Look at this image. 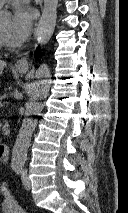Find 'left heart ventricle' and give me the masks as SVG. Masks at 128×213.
Segmentation results:
<instances>
[{
  "label": "left heart ventricle",
  "instance_id": "b2bd125f",
  "mask_svg": "<svg viewBox=\"0 0 128 213\" xmlns=\"http://www.w3.org/2000/svg\"><path fill=\"white\" fill-rule=\"evenodd\" d=\"M10 30H11V23L9 21L0 25V32H2L4 35H6L9 39H11Z\"/></svg>",
  "mask_w": 128,
  "mask_h": 213
}]
</instances>
